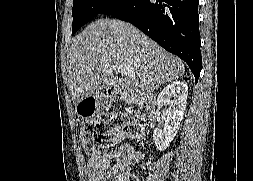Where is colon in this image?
<instances>
[{
	"label": "colon",
	"mask_w": 253,
	"mask_h": 181,
	"mask_svg": "<svg viewBox=\"0 0 253 181\" xmlns=\"http://www.w3.org/2000/svg\"><path fill=\"white\" fill-rule=\"evenodd\" d=\"M140 133V128L130 124L123 114L104 113L83 125L81 138L87 153L95 155L107 151L123 134L139 135ZM124 181H135V179L127 176Z\"/></svg>",
	"instance_id": "1"
}]
</instances>
